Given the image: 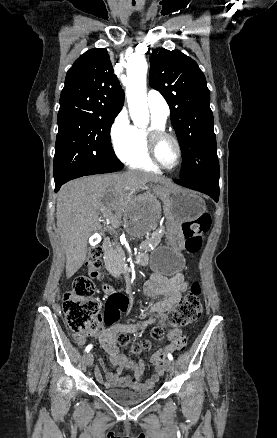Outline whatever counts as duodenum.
Here are the masks:
<instances>
[{
  "label": "duodenum",
  "mask_w": 277,
  "mask_h": 438,
  "mask_svg": "<svg viewBox=\"0 0 277 438\" xmlns=\"http://www.w3.org/2000/svg\"><path fill=\"white\" fill-rule=\"evenodd\" d=\"M109 240L108 239H104L101 243V247L103 250H107L109 249ZM135 260L141 264H145L147 262V256L143 253L137 254L135 257Z\"/></svg>",
  "instance_id": "410a0bca"
}]
</instances>
